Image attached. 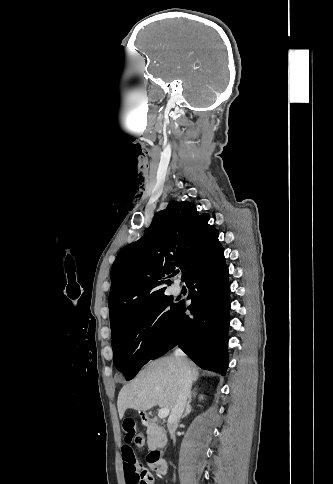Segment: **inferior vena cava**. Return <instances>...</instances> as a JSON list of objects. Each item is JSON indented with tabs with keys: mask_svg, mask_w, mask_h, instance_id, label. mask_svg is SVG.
<instances>
[{
	"mask_svg": "<svg viewBox=\"0 0 333 484\" xmlns=\"http://www.w3.org/2000/svg\"><path fill=\"white\" fill-rule=\"evenodd\" d=\"M174 356L180 368V389L178 392L176 403L171 409V414L168 418L167 423L168 431L171 437L174 436L178 423L186 407L187 398L189 396L192 384V372L190 368V362L186 357L185 353L180 348H176L174 351Z\"/></svg>",
	"mask_w": 333,
	"mask_h": 484,
	"instance_id": "1",
	"label": "inferior vena cava"
}]
</instances>
